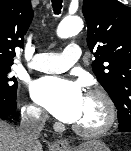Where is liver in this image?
<instances>
[{"mask_svg":"<svg viewBox=\"0 0 131 151\" xmlns=\"http://www.w3.org/2000/svg\"><path fill=\"white\" fill-rule=\"evenodd\" d=\"M0 151H43L40 142L30 144L23 140L18 130L0 120Z\"/></svg>","mask_w":131,"mask_h":151,"instance_id":"obj_1","label":"liver"}]
</instances>
